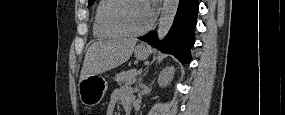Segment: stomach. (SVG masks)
I'll return each mask as SVG.
<instances>
[{"label":"stomach","instance_id":"stomach-1","mask_svg":"<svg viewBox=\"0 0 285 115\" xmlns=\"http://www.w3.org/2000/svg\"><path fill=\"white\" fill-rule=\"evenodd\" d=\"M150 54V50L144 46H137L134 55L138 60H145ZM107 90V81L98 75H90L79 81L78 91L81 102L94 107L103 99Z\"/></svg>","mask_w":285,"mask_h":115}]
</instances>
